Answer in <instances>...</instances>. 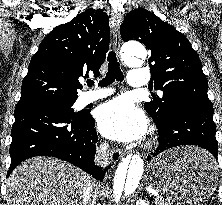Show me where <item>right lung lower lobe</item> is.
Returning a JSON list of instances; mask_svg holds the SVG:
<instances>
[{
  "label": "right lung lower lobe",
  "mask_w": 222,
  "mask_h": 205,
  "mask_svg": "<svg viewBox=\"0 0 222 205\" xmlns=\"http://www.w3.org/2000/svg\"><path fill=\"white\" fill-rule=\"evenodd\" d=\"M7 176L23 160L52 156L76 165L99 181L104 171L94 164L98 136L90 114L75 118L52 107L15 109Z\"/></svg>",
  "instance_id": "obj_1"
}]
</instances>
